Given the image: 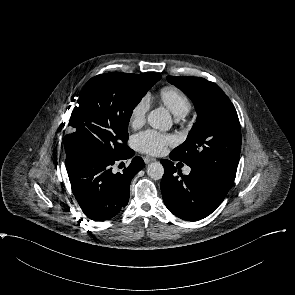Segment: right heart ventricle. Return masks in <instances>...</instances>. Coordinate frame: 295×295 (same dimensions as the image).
<instances>
[{
  "instance_id": "right-heart-ventricle-1",
  "label": "right heart ventricle",
  "mask_w": 295,
  "mask_h": 295,
  "mask_svg": "<svg viewBox=\"0 0 295 295\" xmlns=\"http://www.w3.org/2000/svg\"><path fill=\"white\" fill-rule=\"evenodd\" d=\"M159 100L176 118L185 117L191 108L188 96L175 86H165L159 91Z\"/></svg>"
}]
</instances>
